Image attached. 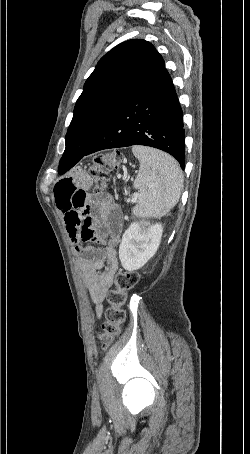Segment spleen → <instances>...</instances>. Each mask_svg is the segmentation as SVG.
<instances>
[{
	"mask_svg": "<svg viewBox=\"0 0 250 454\" xmlns=\"http://www.w3.org/2000/svg\"><path fill=\"white\" fill-rule=\"evenodd\" d=\"M132 152L140 162L134 181L138 203L132 213L140 218H161L178 202L183 188V174L170 155L150 147L135 145Z\"/></svg>",
	"mask_w": 250,
	"mask_h": 454,
	"instance_id": "spleen-1",
	"label": "spleen"
}]
</instances>
